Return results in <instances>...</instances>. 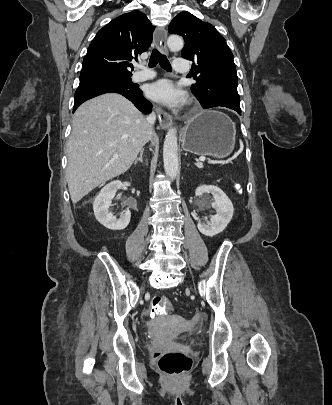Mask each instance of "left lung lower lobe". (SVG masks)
Instances as JSON below:
<instances>
[{
    "label": "left lung lower lobe",
    "instance_id": "1",
    "mask_svg": "<svg viewBox=\"0 0 332 405\" xmlns=\"http://www.w3.org/2000/svg\"><path fill=\"white\" fill-rule=\"evenodd\" d=\"M205 109H208V108H205ZM238 113L240 114V113H241V111H240V112L238 111Z\"/></svg>",
    "mask_w": 332,
    "mask_h": 405
}]
</instances>
